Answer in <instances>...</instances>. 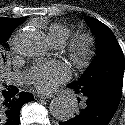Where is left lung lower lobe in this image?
<instances>
[{
	"label": "left lung lower lobe",
	"mask_w": 125,
	"mask_h": 125,
	"mask_svg": "<svg viewBox=\"0 0 125 125\" xmlns=\"http://www.w3.org/2000/svg\"><path fill=\"white\" fill-rule=\"evenodd\" d=\"M121 95V92L107 91L82 96L84 104L79 112L59 125H107L118 108Z\"/></svg>",
	"instance_id": "left-lung-lower-lobe-1"
}]
</instances>
